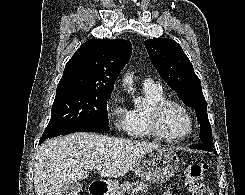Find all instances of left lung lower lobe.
<instances>
[{
	"instance_id": "obj_1",
	"label": "left lung lower lobe",
	"mask_w": 245,
	"mask_h": 195,
	"mask_svg": "<svg viewBox=\"0 0 245 195\" xmlns=\"http://www.w3.org/2000/svg\"><path fill=\"white\" fill-rule=\"evenodd\" d=\"M213 147L214 146H211V145H208V144H205V143H198V144L190 146V148H192V149L213 151L215 154H217L216 150Z\"/></svg>"
}]
</instances>
